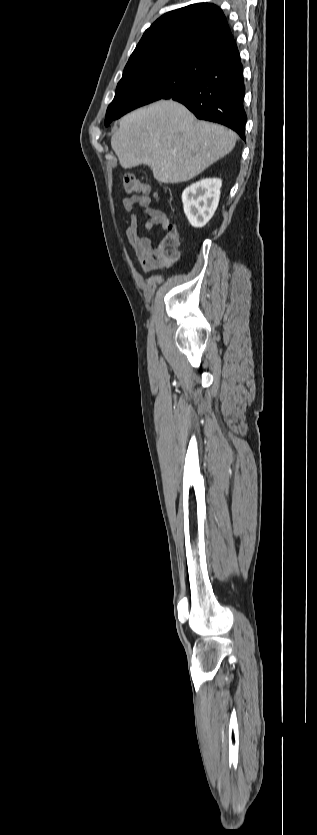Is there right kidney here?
<instances>
[{
  "instance_id": "obj_1",
  "label": "right kidney",
  "mask_w": 317,
  "mask_h": 835,
  "mask_svg": "<svg viewBox=\"0 0 317 835\" xmlns=\"http://www.w3.org/2000/svg\"><path fill=\"white\" fill-rule=\"evenodd\" d=\"M221 186V179L205 178L183 191L184 213L193 227L201 228L212 218L219 204Z\"/></svg>"
}]
</instances>
